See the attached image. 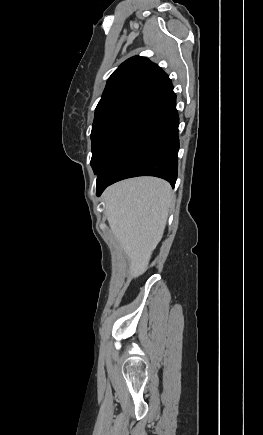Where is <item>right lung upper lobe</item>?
Segmentation results:
<instances>
[{
  "instance_id": "obj_1",
  "label": "right lung upper lobe",
  "mask_w": 263,
  "mask_h": 435,
  "mask_svg": "<svg viewBox=\"0 0 263 435\" xmlns=\"http://www.w3.org/2000/svg\"><path fill=\"white\" fill-rule=\"evenodd\" d=\"M171 84L159 66L146 57L135 56L112 73L97 108L126 102L145 104Z\"/></svg>"
}]
</instances>
